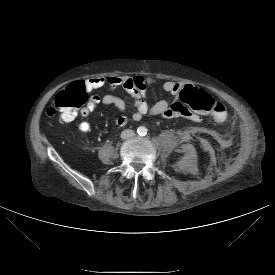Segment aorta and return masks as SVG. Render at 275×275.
Masks as SVG:
<instances>
[{"label": "aorta", "instance_id": "1", "mask_svg": "<svg viewBox=\"0 0 275 275\" xmlns=\"http://www.w3.org/2000/svg\"><path fill=\"white\" fill-rule=\"evenodd\" d=\"M137 132H138L139 135L143 136L147 133V129H146V127L140 126L138 128Z\"/></svg>", "mask_w": 275, "mask_h": 275}]
</instances>
